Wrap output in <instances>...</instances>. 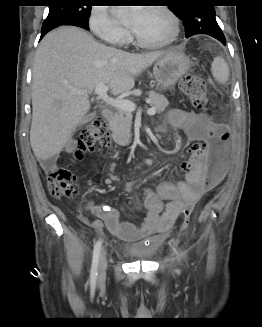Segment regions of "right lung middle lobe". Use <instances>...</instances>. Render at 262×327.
Segmentation results:
<instances>
[{
	"label": "right lung middle lobe",
	"instance_id": "1",
	"mask_svg": "<svg viewBox=\"0 0 262 327\" xmlns=\"http://www.w3.org/2000/svg\"><path fill=\"white\" fill-rule=\"evenodd\" d=\"M60 4L49 6V14L43 25L52 24L63 20H76L88 23L91 6L75 4L74 0H57Z\"/></svg>",
	"mask_w": 262,
	"mask_h": 327
}]
</instances>
